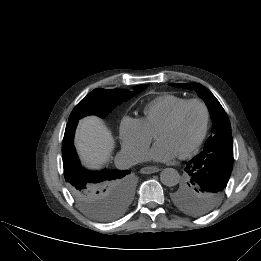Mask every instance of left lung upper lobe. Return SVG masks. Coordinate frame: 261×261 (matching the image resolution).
Returning <instances> with one entry per match:
<instances>
[{
	"label": "left lung upper lobe",
	"instance_id": "1",
	"mask_svg": "<svg viewBox=\"0 0 261 261\" xmlns=\"http://www.w3.org/2000/svg\"><path fill=\"white\" fill-rule=\"evenodd\" d=\"M171 86L195 90L206 103L212 122V134L204 150L186 167L195 168L173 192L175 205L187 214L202 216L222 200L233 167V142L227 114L216 97L203 85L172 83ZM195 172V173H193Z\"/></svg>",
	"mask_w": 261,
	"mask_h": 261
}]
</instances>
